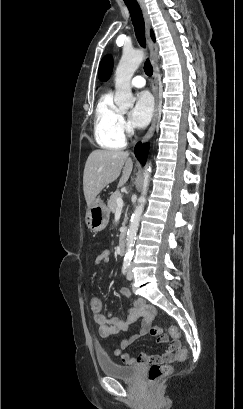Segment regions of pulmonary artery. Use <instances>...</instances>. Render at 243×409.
Instances as JSON below:
<instances>
[{
    "label": "pulmonary artery",
    "mask_w": 243,
    "mask_h": 409,
    "mask_svg": "<svg viewBox=\"0 0 243 409\" xmlns=\"http://www.w3.org/2000/svg\"><path fill=\"white\" fill-rule=\"evenodd\" d=\"M131 85L136 88H142L145 85V78L141 75H136L132 78Z\"/></svg>",
    "instance_id": "obj_1"
}]
</instances>
